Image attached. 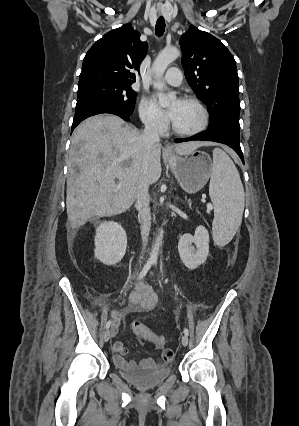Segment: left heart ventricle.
<instances>
[{
    "label": "left heart ventricle",
    "mask_w": 299,
    "mask_h": 426,
    "mask_svg": "<svg viewBox=\"0 0 299 426\" xmlns=\"http://www.w3.org/2000/svg\"><path fill=\"white\" fill-rule=\"evenodd\" d=\"M176 103L174 101L171 106ZM201 122V113L198 107L189 102L179 101L178 110L173 124L181 130H190Z\"/></svg>",
    "instance_id": "left-heart-ventricle-1"
}]
</instances>
